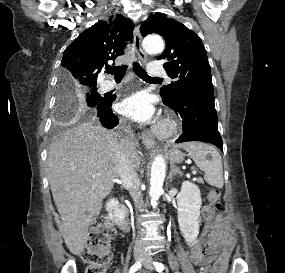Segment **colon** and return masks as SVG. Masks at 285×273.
Segmentation results:
<instances>
[{
    "label": "colon",
    "instance_id": "5ec220e1",
    "mask_svg": "<svg viewBox=\"0 0 285 273\" xmlns=\"http://www.w3.org/2000/svg\"><path fill=\"white\" fill-rule=\"evenodd\" d=\"M208 199L212 207L221 209L220 190L209 191ZM114 230L103 221H97L91 227L87 242L81 252V257L87 265V273H107L112 264L111 241ZM202 273H216L212 266H206Z\"/></svg>",
    "mask_w": 285,
    "mask_h": 273
}]
</instances>
